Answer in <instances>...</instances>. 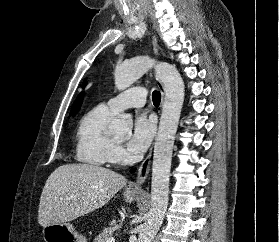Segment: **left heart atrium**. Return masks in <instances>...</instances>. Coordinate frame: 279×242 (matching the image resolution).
I'll return each instance as SVG.
<instances>
[{
	"mask_svg": "<svg viewBox=\"0 0 279 242\" xmlns=\"http://www.w3.org/2000/svg\"><path fill=\"white\" fill-rule=\"evenodd\" d=\"M154 131L155 123L153 119L144 113L138 114L135 118L132 134L127 144L129 151L134 154L145 152L151 143Z\"/></svg>",
	"mask_w": 279,
	"mask_h": 242,
	"instance_id": "39dd6f15",
	"label": "left heart atrium"
}]
</instances>
